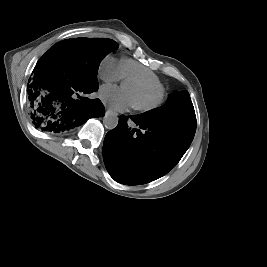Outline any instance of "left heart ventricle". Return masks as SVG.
<instances>
[{"label": "left heart ventricle", "instance_id": "left-heart-ventricle-1", "mask_svg": "<svg viewBox=\"0 0 267 267\" xmlns=\"http://www.w3.org/2000/svg\"><path fill=\"white\" fill-rule=\"evenodd\" d=\"M125 88L130 92L135 104H146L156 97V92L144 84L129 81L125 83Z\"/></svg>", "mask_w": 267, "mask_h": 267}]
</instances>
